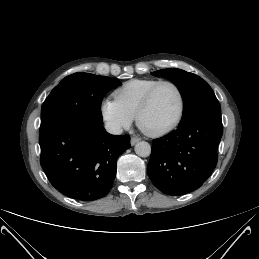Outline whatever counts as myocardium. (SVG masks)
Here are the masks:
<instances>
[{"instance_id": "f54148a6", "label": "myocardium", "mask_w": 259, "mask_h": 259, "mask_svg": "<svg viewBox=\"0 0 259 259\" xmlns=\"http://www.w3.org/2000/svg\"><path fill=\"white\" fill-rule=\"evenodd\" d=\"M162 85H170L177 92L178 97H179V111H178V114H177L176 118L174 119V121L172 123H170L168 126H166L165 128H162L160 130H157V131H149L143 127L142 118H143L145 112L150 107L155 92ZM184 113H185V97H184L183 91L181 90L179 85L171 80H160L155 85H153L148 90L146 95L144 96V98L141 102V105L136 114V123H137V126L148 136L161 137V136H164V135L172 132L175 128H177V126L181 123V121L183 119Z\"/></svg>"}]
</instances>
